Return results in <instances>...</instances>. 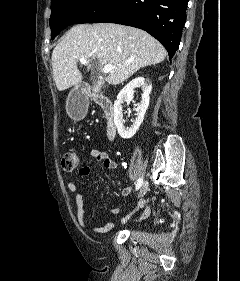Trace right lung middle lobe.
Returning <instances> with one entry per match:
<instances>
[{
	"mask_svg": "<svg viewBox=\"0 0 240 281\" xmlns=\"http://www.w3.org/2000/svg\"><path fill=\"white\" fill-rule=\"evenodd\" d=\"M118 0H52L51 39L71 24L92 23L106 13Z\"/></svg>",
	"mask_w": 240,
	"mask_h": 281,
	"instance_id": "obj_1",
	"label": "right lung middle lobe"
}]
</instances>
